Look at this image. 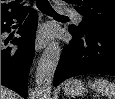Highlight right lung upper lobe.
Listing matches in <instances>:
<instances>
[{"label": "right lung upper lobe", "mask_w": 115, "mask_h": 99, "mask_svg": "<svg viewBox=\"0 0 115 99\" xmlns=\"http://www.w3.org/2000/svg\"><path fill=\"white\" fill-rule=\"evenodd\" d=\"M21 2L22 0L12 2L9 0H1V19L22 13L25 9L22 7Z\"/></svg>", "instance_id": "1"}]
</instances>
